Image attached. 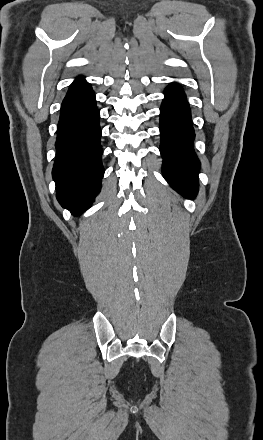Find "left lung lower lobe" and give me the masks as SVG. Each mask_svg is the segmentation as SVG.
<instances>
[{
  "label": "left lung lower lobe",
  "mask_w": 263,
  "mask_h": 440,
  "mask_svg": "<svg viewBox=\"0 0 263 440\" xmlns=\"http://www.w3.org/2000/svg\"><path fill=\"white\" fill-rule=\"evenodd\" d=\"M164 94L160 109L163 176L178 193L192 199L198 192L200 162L193 149L195 135L189 104L177 83H171Z\"/></svg>",
  "instance_id": "left-lung-lower-lobe-1"
}]
</instances>
